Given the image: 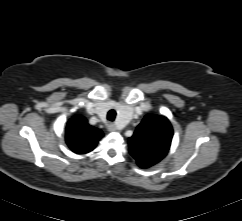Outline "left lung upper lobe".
<instances>
[{"mask_svg":"<svg viewBox=\"0 0 242 221\" xmlns=\"http://www.w3.org/2000/svg\"><path fill=\"white\" fill-rule=\"evenodd\" d=\"M172 136V126L166 117L146 115L129 138L130 154L140 167L148 168L166 156Z\"/></svg>","mask_w":242,"mask_h":221,"instance_id":"5c2ea615","label":"left lung upper lobe"}]
</instances>
